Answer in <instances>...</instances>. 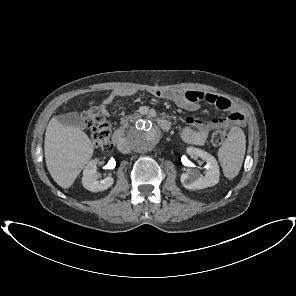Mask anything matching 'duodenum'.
<instances>
[{
    "label": "duodenum",
    "instance_id": "410a0bca",
    "mask_svg": "<svg viewBox=\"0 0 296 296\" xmlns=\"http://www.w3.org/2000/svg\"><path fill=\"white\" fill-rule=\"evenodd\" d=\"M158 125L163 130H169L172 126L170 121L163 119V118H160L158 120ZM112 141H113V144L116 145L121 152H123V153L128 152L129 147H128L127 142L125 141L123 132L121 130H116L113 133Z\"/></svg>",
    "mask_w": 296,
    "mask_h": 296
}]
</instances>
